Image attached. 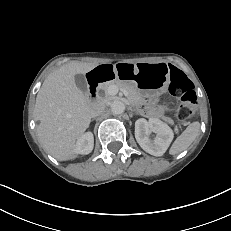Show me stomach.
I'll return each instance as SVG.
<instances>
[{
	"mask_svg": "<svg viewBox=\"0 0 231 231\" xmlns=\"http://www.w3.org/2000/svg\"><path fill=\"white\" fill-rule=\"evenodd\" d=\"M127 65L130 79L138 91L147 96L164 93L170 84V68L167 63L139 62L135 64L118 63L115 69ZM117 66V68H116Z\"/></svg>",
	"mask_w": 231,
	"mask_h": 231,
	"instance_id": "1",
	"label": "stomach"
}]
</instances>
